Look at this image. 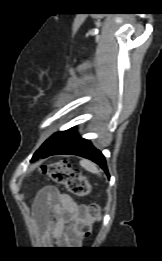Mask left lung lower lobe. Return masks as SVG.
Masks as SVG:
<instances>
[{
  "mask_svg": "<svg viewBox=\"0 0 162 261\" xmlns=\"http://www.w3.org/2000/svg\"><path fill=\"white\" fill-rule=\"evenodd\" d=\"M56 154L78 155L90 159L108 174L103 154L94 148L89 140L81 138L75 130L53 146L42 158Z\"/></svg>",
  "mask_w": 162,
  "mask_h": 261,
  "instance_id": "obj_1",
  "label": "left lung lower lobe"
}]
</instances>
